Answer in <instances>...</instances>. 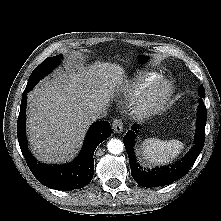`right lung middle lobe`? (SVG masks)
Returning a JSON list of instances; mask_svg holds the SVG:
<instances>
[{
	"label": "right lung middle lobe",
	"instance_id": "right-lung-middle-lobe-1",
	"mask_svg": "<svg viewBox=\"0 0 221 221\" xmlns=\"http://www.w3.org/2000/svg\"><path fill=\"white\" fill-rule=\"evenodd\" d=\"M61 55H56L54 57H48L45 61H43L38 67H36L31 73L26 90H31L34 85L48 73H50L57 64L60 63Z\"/></svg>",
	"mask_w": 221,
	"mask_h": 221
}]
</instances>
